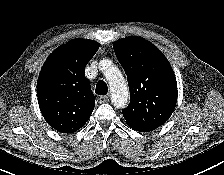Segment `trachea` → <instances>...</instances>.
Returning a JSON list of instances; mask_svg holds the SVG:
<instances>
[{
	"mask_svg": "<svg viewBox=\"0 0 224 175\" xmlns=\"http://www.w3.org/2000/svg\"><path fill=\"white\" fill-rule=\"evenodd\" d=\"M108 87L104 81H100L96 85L95 93L98 95H105L107 94Z\"/></svg>",
	"mask_w": 224,
	"mask_h": 175,
	"instance_id": "obj_1",
	"label": "trachea"
}]
</instances>
